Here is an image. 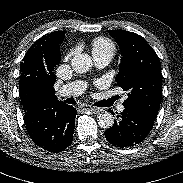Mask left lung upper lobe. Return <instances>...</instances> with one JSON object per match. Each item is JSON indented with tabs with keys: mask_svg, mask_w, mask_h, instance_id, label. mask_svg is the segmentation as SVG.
Here are the masks:
<instances>
[{
	"mask_svg": "<svg viewBox=\"0 0 183 183\" xmlns=\"http://www.w3.org/2000/svg\"><path fill=\"white\" fill-rule=\"evenodd\" d=\"M109 34L116 39L122 53L116 81L128 92L124 107L156 119L162 94L161 63L156 52L136 33L111 30Z\"/></svg>",
	"mask_w": 183,
	"mask_h": 183,
	"instance_id": "1",
	"label": "left lung upper lobe"
}]
</instances>
